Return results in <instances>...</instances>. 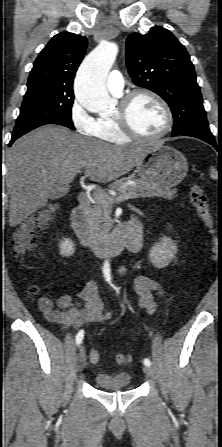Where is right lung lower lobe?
<instances>
[{"instance_id": "98d812e1", "label": "right lung lower lobe", "mask_w": 222, "mask_h": 447, "mask_svg": "<svg viewBox=\"0 0 222 447\" xmlns=\"http://www.w3.org/2000/svg\"><path fill=\"white\" fill-rule=\"evenodd\" d=\"M16 139H17V137H12V140H11V142L9 143V146H11L12 143H13Z\"/></svg>"}]
</instances>
